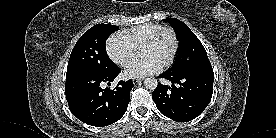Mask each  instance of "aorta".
<instances>
[{
	"label": "aorta",
	"mask_w": 276,
	"mask_h": 138,
	"mask_svg": "<svg viewBox=\"0 0 276 138\" xmlns=\"http://www.w3.org/2000/svg\"><path fill=\"white\" fill-rule=\"evenodd\" d=\"M144 85H145L146 89L155 90L158 85V82H157L156 78L148 77L144 80Z\"/></svg>",
	"instance_id": "aorta-1"
}]
</instances>
